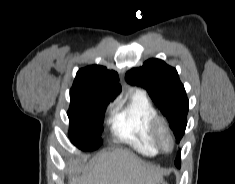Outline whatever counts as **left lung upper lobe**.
Listing matches in <instances>:
<instances>
[{
  "mask_svg": "<svg viewBox=\"0 0 235 184\" xmlns=\"http://www.w3.org/2000/svg\"><path fill=\"white\" fill-rule=\"evenodd\" d=\"M125 79L129 84L147 90L153 102L167 117L179 142L187 125L188 98L176 69L160 59H149L142 67L129 70ZM175 165L180 167V151Z\"/></svg>",
  "mask_w": 235,
  "mask_h": 184,
  "instance_id": "1",
  "label": "left lung upper lobe"
}]
</instances>
